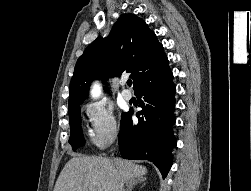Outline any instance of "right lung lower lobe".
I'll list each match as a JSON object with an SVG mask.
<instances>
[{"instance_id": "1", "label": "right lung lower lobe", "mask_w": 251, "mask_h": 191, "mask_svg": "<svg viewBox=\"0 0 251 191\" xmlns=\"http://www.w3.org/2000/svg\"><path fill=\"white\" fill-rule=\"evenodd\" d=\"M176 87L172 72L158 82L140 87L136 92L142 111L139 122L133 123L128 112L121 123L119 150L123 158L153 162L166 177L172 165V149L176 145L173 134Z\"/></svg>"}]
</instances>
